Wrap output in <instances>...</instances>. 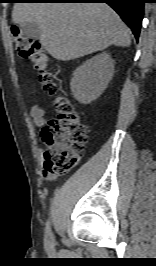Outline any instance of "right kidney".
<instances>
[{"mask_svg": "<svg viewBox=\"0 0 156 266\" xmlns=\"http://www.w3.org/2000/svg\"><path fill=\"white\" fill-rule=\"evenodd\" d=\"M114 73V61L103 52L87 60L73 73L70 82L74 98L82 104L95 100L107 87Z\"/></svg>", "mask_w": 156, "mask_h": 266, "instance_id": "ca27d5eb", "label": "right kidney"}]
</instances>
